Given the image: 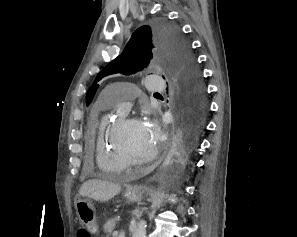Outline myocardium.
<instances>
[{"mask_svg":"<svg viewBox=\"0 0 297 237\" xmlns=\"http://www.w3.org/2000/svg\"><path fill=\"white\" fill-rule=\"evenodd\" d=\"M139 119L134 116H124L115 125L111 137V144L115 153L120 157L126 167L128 166H145L151 164L157 159L159 155V150L156 148L152 153H150L145 158H135L132 156L122 141V134L124 130L132 123L138 122Z\"/></svg>","mask_w":297,"mask_h":237,"instance_id":"obj_1","label":"myocardium"}]
</instances>
